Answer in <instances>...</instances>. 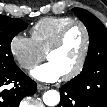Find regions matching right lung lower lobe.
<instances>
[{
    "label": "right lung lower lobe",
    "mask_w": 107,
    "mask_h": 107,
    "mask_svg": "<svg viewBox=\"0 0 107 107\" xmlns=\"http://www.w3.org/2000/svg\"><path fill=\"white\" fill-rule=\"evenodd\" d=\"M14 83L11 89L4 86ZM36 82L26 76L17 66L0 71V107H18L22 98L35 93Z\"/></svg>",
    "instance_id": "98d812e1"
}]
</instances>
